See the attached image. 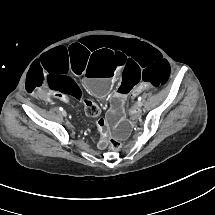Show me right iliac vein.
<instances>
[{"instance_id":"right-iliac-vein-1","label":"right iliac vein","mask_w":215,"mask_h":215,"mask_svg":"<svg viewBox=\"0 0 215 215\" xmlns=\"http://www.w3.org/2000/svg\"><path fill=\"white\" fill-rule=\"evenodd\" d=\"M61 114H62L63 116H66V115H67V113H66L64 110L61 112Z\"/></svg>"}]
</instances>
